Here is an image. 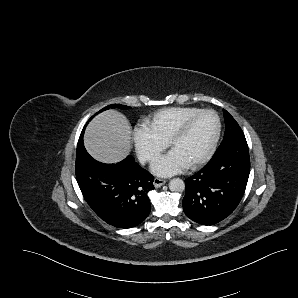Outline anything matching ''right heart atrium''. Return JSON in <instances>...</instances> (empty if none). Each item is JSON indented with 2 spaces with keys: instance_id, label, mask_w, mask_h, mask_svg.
I'll list each match as a JSON object with an SVG mask.
<instances>
[{
  "instance_id": "obj_1",
  "label": "right heart atrium",
  "mask_w": 298,
  "mask_h": 298,
  "mask_svg": "<svg viewBox=\"0 0 298 298\" xmlns=\"http://www.w3.org/2000/svg\"><path fill=\"white\" fill-rule=\"evenodd\" d=\"M132 136L136 151L143 162L154 158L158 153L166 148V141L155 135L150 129L144 127H134Z\"/></svg>"
}]
</instances>
